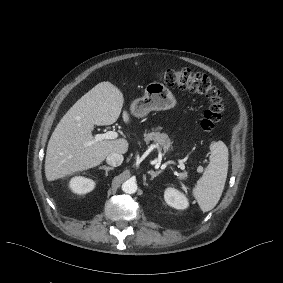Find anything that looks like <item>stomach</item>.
I'll use <instances>...</instances> for the list:
<instances>
[{
    "instance_id": "0dacf381",
    "label": "stomach",
    "mask_w": 283,
    "mask_h": 283,
    "mask_svg": "<svg viewBox=\"0 0 283 283\" xmlns=\"http://www.w3.org/2000/svg\"><path fill=\"white\" fill-rule=\"evenodd\" d=\"M175 100L170 91L160 83H150L145 95L134 99L129 106V113L135 118H144L151 111L165 110L174 106Z\"/></svg>"
}]
</instances>
